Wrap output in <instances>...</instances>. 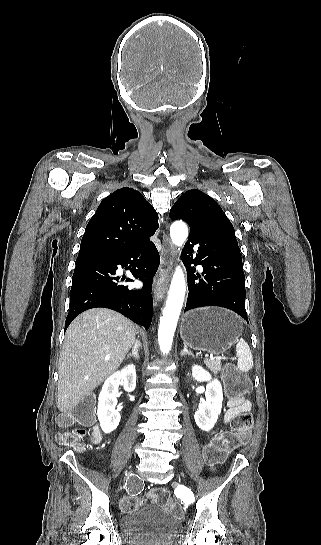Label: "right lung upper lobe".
<instances>
[{
	"label": "right lung upper lobe",
	"mask_w": 321,
	"mask_h": 545,
	"mask_svg": "<svg viewBox=\"0 0 321 545\" xmlns=\"http://www.w3.org/2000/svg\"><path fill=\"white\" fill-rule=\"evenodd\" d=\"M158 228V214L143 195L128 187L106 197L90 219L76 264L122 255L145 242Z\"/></svg>",
	"instance_id": "right-lung-upper-lobe-1"
}]
</instances>
